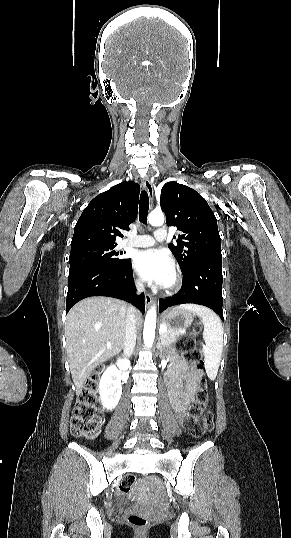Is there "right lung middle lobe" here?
I'll list each match as a JSON object with an SVG mask.
<instances>
[{"mask_svg": "<svg viewBox=\"0 0 291 538\" xmlns=\"http://www.w3.org/2000/svg\"><path fill=\"white\" fill-rule=\"evenodd\" d=\"M115 247L116 245H89L71 249L70 268L81 265L119 266L126 263L128 259L120 258Z\"/></svg>", "mask_w": 291, "mask_h": 538, "instance_id": "1", "label": "right lung middle lobe"}]
</instances>
